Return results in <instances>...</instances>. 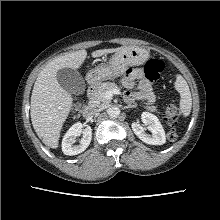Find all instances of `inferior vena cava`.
Returning a JSON list of instances; mask_svg holds the SVG:
<instances>
[{
	"label": "inferior vena cava",
	"instance_id": "602c4592",
	"mask_svg": "<svg viewBox=\"0 0 220 220\" xmlns=\"http://www.w3.org/2000/svg\"><path fill=\"white\" fill-rule=\"evenodd\" d=\"M99 111H100V109H93V110L90 112V115H95V114H97Z\"/></svg>",
	"mask_w": 220,
	"mask_h": 220
}]
</instances>
